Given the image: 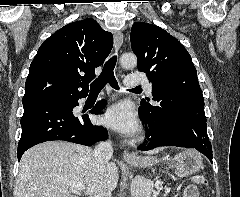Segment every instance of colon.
I'll return each instance as SVG.
<instances>
[{
    "instance_id": "obj_1",
    "label": "colon",
    "mask_w": 240,
    "mask_h": 197,
    "mask_svg": "<svg viewBox=\"0 0 240 197\" xmlns=\"http://www.w3.org/2000/svg\"><path fill=\"white\" fill-rule=\"evenodd\" d=\"M192 180L195 184L197 185H206L207 184V179L206 177L203 175V174H195L193 177H192Z\"/></svg>"
}]
</instances>
